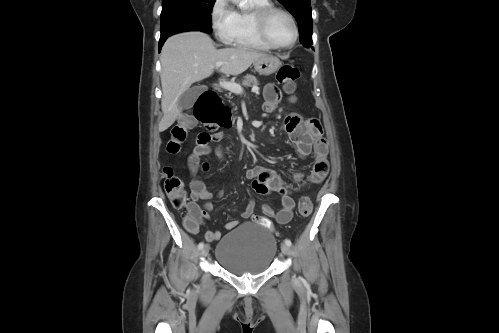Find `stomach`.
Segmentation results:
<instances>
[{
  "instance_id": "1",
  "label": "stomach",
  "mask_w": 499,
  "mask_h": 333,
  "mask_svg": "<svg viewBox=\"0 0 499 333\" xmlns=\"http://www.w3.org/2000/svg\"><path fill=\"white\" fill-rule=\"evenodd\" d=\"M280 60L272 55H266L254 61L255 71L264 76L275 73L280 67Z\"/></svg>"
}]
</instances>
